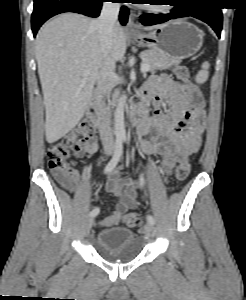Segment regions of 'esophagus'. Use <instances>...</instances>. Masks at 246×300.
<instances>
[{
    "instance_id": "1",
    "label": "esophagus",
    "mask_w": 246,
    "mask_h": 300,
    "mask_svg": "<svg viewBox=\"0 0 246 300\" xmlns=\"http://www.w3.org/2000/svg\"><path fill=\"white\" fill-rule=\"evenodd\" d=\"M127 32L128 33H138V27L134 22V14L133 12L130 13L128 23H127Z\"/></svg>"
}]
</instances>
